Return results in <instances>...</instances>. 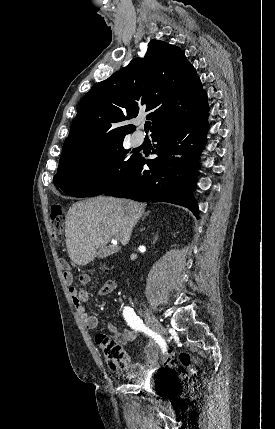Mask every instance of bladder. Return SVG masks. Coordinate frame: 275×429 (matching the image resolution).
Listing matches in <instances>:
<instances>
[{"label": "bladder", "instance_id": "1", "mask_svg": "<svg viewBox=\"0 0 275 429\" xmlns=\"http://www.w3.org/2000/svg\"><path fill=\"white\" fill-rule=\"evenodd\" d=\"M141 387H148L149 398H174V389H167L170 386V377H151L147 381H137Z\"/></svg>", "mask_w": 275, "mask_h": 429}]
</instances>
